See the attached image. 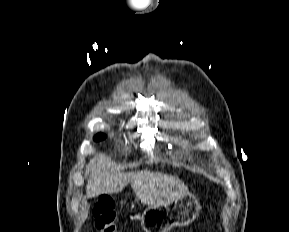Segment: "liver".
<instances>
[{"instance_id": "liver-1", "label": "liver", "mask_w": 289, "mask_h": 232, "mask_svg": "<svg viewBox=\"0 0 289 232\" xmlns=\"http://www.w3.org/2000/svg\"><path fill=\"white\" fill-rule=\"evenodd\" d=\"M86 170L89 174L86 185L88 198L119 193L128 183L136 197L149 206L163 205L189 194L188 186L176 176L148 170L117 172L113 169L111 158L103 154L92 158Z\"/></svg>"}]
</instances>
